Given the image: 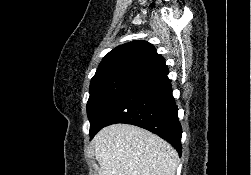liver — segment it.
I'll return each instance as SVG.
<instances>
[{
	"label": "liver",
	"mask_w": 251,
	"mask_h": 175,
	"mask_svg": "<svg viewBox=\"0 0 251 175\" xmlns=\"http://www.w3.org/2000/svg\"><path fill=\"white\" fill-rule=\"evenodd\" d=\"M93 143L99 175H175L176 149L142 127L113 123L100 129Z\"/></svg>",
	"instance_id": "liver-1"
}]
</instances>
